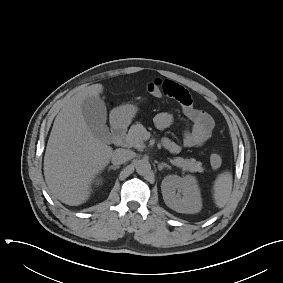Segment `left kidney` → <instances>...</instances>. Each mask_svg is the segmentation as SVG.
Returning a JSON list of instances; mask_svg holds the SVG:
<instances>
[{"mask_svg": "<svg viewBox=\"0 0 283 283\" xmlns=\"http://www.w3.org/2000/svg\"><path fill=\"white\" fill-rule=\"evenodd\" d=\"M164 202L178 213H198L202 207L200 190L195 177L169 175L161 184Z\"/></svg>", "mask_w": 283, "mask_h": 283, "instance_id": "5707ae66", "label": "left kidney"}]
</instances>
